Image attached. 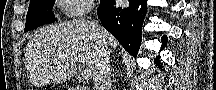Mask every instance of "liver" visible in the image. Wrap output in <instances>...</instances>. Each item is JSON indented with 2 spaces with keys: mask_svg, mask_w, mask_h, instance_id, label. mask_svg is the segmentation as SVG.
Segmentation results:
<instances>
[{
  "mask_svg": "<svg viewBox=\"0 0 216 90\" xmlns=\"http://www.w3.org/2000/svg\"><path fill=\"white\" fill-rule=\"evenodd\" d=\"M103 40L110 50L119 46L114 36L89 20L46 26L35 32L27 44V64H37L46 82L70 80L77 72L78 62L84 74L91 76L94 64L99 62Z\"/></svg>",
  "mask_w": 216,
  "mask_h": 90,
  "instance_id": "6515ba94",
  "label": "liver"
}]
</instances>
